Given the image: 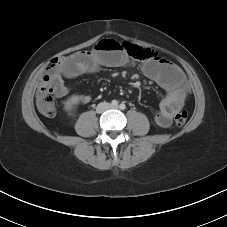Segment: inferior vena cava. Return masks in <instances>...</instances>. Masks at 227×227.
Returning a JSON list of instances; mask_svg holds the SVG:
<instances>
[{
  "instance_id": "obj_1",
  "label": "inferior vena cava",
  "mask_w": 227,
  "mask_h": 227,
  "mask_svg": "<svg viewBox=\"0 0 227 227\" xmlns=\"http://www.w3.org/2000/svg\"><path fill=\"white\" fill-rule=\"evenodd\" d=\"M110 108V105L109 103H106V102H101L97 105L96 107V112L97 113H102L104 112L105 110L109 109Z\"/></svg>"
}]
</instances>
